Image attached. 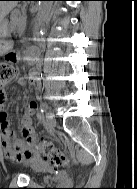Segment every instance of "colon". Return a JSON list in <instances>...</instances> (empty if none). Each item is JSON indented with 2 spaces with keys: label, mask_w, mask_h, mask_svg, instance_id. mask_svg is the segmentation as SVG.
I'll return each mask as SVG.
<instances>
[{
  "label": "colon",
  "mask_w": 137,
  "mask_h": 189,
  "mask_svg": "<svg viewBox=\"0 0 137 189\" xmlns=\"http://www.w3.org/2000/svg\"><path fill=\"white\" fill-rule=\"evenodd\" d=\"M14 60L15 53L10 52L7 54V57L4 61H0V90L14 77L15 71L12 65ZM35 108L36 104L31 102L29 104L30 111L33 112ZM37 148L39 149L42 159L50 162L56 167H64L69 162L68 155L61 148L55 146L51 142H39Z\"/></svg>",
  "instance_id": "obj_1"
}]
</instances>
